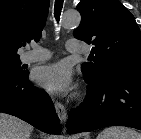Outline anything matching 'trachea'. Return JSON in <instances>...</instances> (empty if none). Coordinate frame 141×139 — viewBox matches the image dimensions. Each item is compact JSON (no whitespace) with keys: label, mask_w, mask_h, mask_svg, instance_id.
Returning <instances> with one entry per match:
<instances>
[{"label":"trachea","mask_w":141,"mask_h":139,"mask_svg":"<svg viewBox=\"0 0 141 139\" xmlns=\"http://www.w3.org/2000/svg\"><path fill=\"white\" fill-rule=\"evenodd\" d=\"M63 2L64 0H55V5H54V17L56 21H59L60 15H61V10L63 7Z\"/></svg>","instance_id":"3493384b"}]
</instances>
